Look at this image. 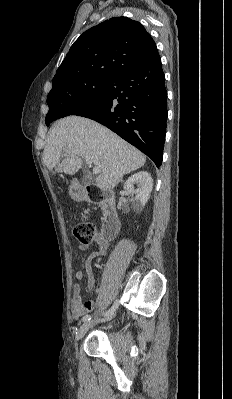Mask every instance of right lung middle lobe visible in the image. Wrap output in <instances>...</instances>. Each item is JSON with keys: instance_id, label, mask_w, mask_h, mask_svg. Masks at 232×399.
<instances>
[{"instance_id": "1", "label": "right lung middle lobe", "mask_w": 232, "mask_h": 399, "mask_svg": "<svg viewBox=\"0 0 232 399\" xmlns=\"http://www.w3.org/2000/svg\"><path fill=\"white\" fill-rule=\"evenodd\" d=\"M109 82L110 78L86 80L69 87L62 93L48 95L49 111L46 115V125L49 126L71 107L99 98Z\"/></svg>"}]
</instances>
